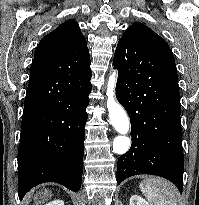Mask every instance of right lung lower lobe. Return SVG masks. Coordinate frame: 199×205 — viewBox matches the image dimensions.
Masks as SVG:
<instances>
[{"instance_id":"obj_1","label":"right lung lower lobe","mask_w":199,"mask_h":205,"mask_svg":"<svg viewBox=\"0 0 199 205\" xmlns=\"http://www.w3.org/2000/svg\"><path fill=\"white\" fill-rule=\"evenodd\" d=\"M90 79L91 75L69 80L63 93L24 110L18 150L20 199L44 182L80 189ZM48 89L46 83L30 82L26 98Z\"/></svg>"}]
</instances>
